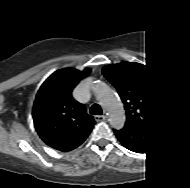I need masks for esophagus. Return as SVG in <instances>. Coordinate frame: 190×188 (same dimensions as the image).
Instances as JSON below:
<instances>
[{"label": "esophagus", "mask_w": 190, "mask_h": 188, "mask_svg": "<svg viewBox=\"0 0 190 188\" xmlns=\"http://www.w3.org/2000/svg\"><path fill=\"white\" fill-rule=\"evenodd\" d=\"M95 120L97 122L105 121L106 120V116L105 115H96L95 116Z\"/></svg>", "instance_id": "esophagus-1"}]
</instances>
